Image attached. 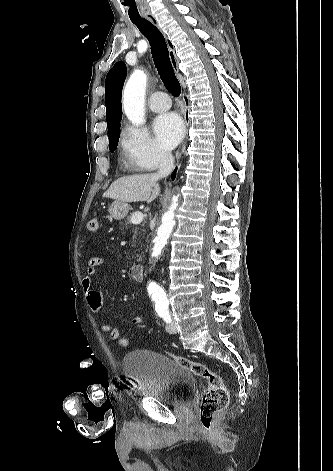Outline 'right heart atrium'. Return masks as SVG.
Masks as SVG:
<instances>
[{
	"label": "right heart atrium",
	"mask_w": 333,
	"mask_h": 471,
	"mask_svg": "<svg viewBox=\"0 0 333 471\" xmlns=\"http://www.w3.org/2000/svg\"><path fill=\"white\" fill-rule=\"evenodd\" d=\"M120 146L126 163L135 170H156L171 160L170 153L141 126L125 125L121 130Z\"/></svg>",
	"instance_id": "d8ad5b80"
}]
</instances>
